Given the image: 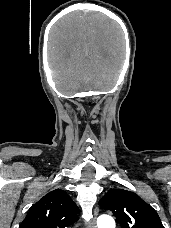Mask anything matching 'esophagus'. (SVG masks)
Segmentation results:
<instances>
[{
	"instance_id": "obj_1",
	"label": "esophagus",
	"mask_w": 171,
	"mask_h": 228,
	"mask_svg": "<svg viewBox=\"0 0 171 228\" xmlns=\"http://www.w3.org/2000/svg\"><path fill=\"white\" fill-rule=\"evenodd\" d=\"M98 211H99V210H98V207H95V209H94V215H95V216L98 214ZM90 228H97L94 219H93V220L91 221V223H90Z\"/></svg>"
}]
</instances>
